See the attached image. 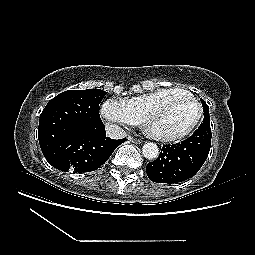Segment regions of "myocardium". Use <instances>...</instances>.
<instances>
[{
  "label": "myocardium",
  "mask_w": 255,
  "mask_h": 255,
  "mask_svg": "<svg viewBox=\"0 0 255 255\" xmlns=\"http://www.w3.org/2000/svg\"><path fill=\"white\" fill-rule=\"evenodd\" d=\"M176 97H184V98L190 100L192 103H194L197 106V110H198L197 116H196L195 120L193 121V123L184 131H182L180 133H176V134H159V133H154V132L148 130L147 125H148L149 121L151 120V118L157 112H159L165 105L170 103ZM202 115H203V108H202L201 103L189 92H187L185 90H181L179 92H175V93L167 96L162 101H160L155 107L150 109L144 116L142 125H143V129L146 132V134H148L150 137H152L156 140L175 141V140H179V139L184 138L187 135H189L199 124V122L202 118Z\"/></svg>",
  "instance_id": "1"
}]
</instances>
